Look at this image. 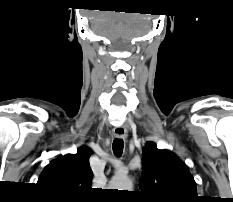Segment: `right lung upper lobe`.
Here are the masks:
<instances>
[{"label": "right lung upper lobe", "mask_w": 233, "mask_h": 202, "mask_svg": "<svg viewBox=\"0 0 233 202\" xmlns=\"http://www.w3.org/2000/svg\"><path fill=\"white\" fill-rule=\"evenodd\" d=\"M90 148L82 146L77 154H67L50 162L38 184L61 196H80L90 190L93 172L89 165Z\"/></svg>", "instance_id": "1"}]
</instances>
